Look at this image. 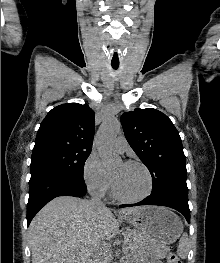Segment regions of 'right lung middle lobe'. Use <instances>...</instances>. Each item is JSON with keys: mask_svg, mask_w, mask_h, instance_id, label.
Masks as SVG:
<instances>
[{"mask_svg": "<svg viewBox=\"0 0 220 263\" xmlns=\"http://www.w3.org/2000/svg\"><path fill=\"white\" fill-rule=\"evenodd\" d=\"M90 149L82 148H49L33 152L31 170L48 168L83 178V167L90 155Z\"/></svg>", "mask_w": 220, "mask_h": 263, "instance_id": "dd1d6c3e", "label": "right lung middle lobe"}]
</instances>
